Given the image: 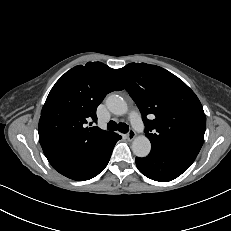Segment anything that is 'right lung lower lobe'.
<instances>
[{"label": "right lung lower lobe", "instance_id": "right-lung-lower-lobe-1", "mask_svg": "<svg viewBox=\"0 0 231 231\" xmlns=\"http://www.w3.org/2000/svg\"><path fill=\"white\" fill-rule=\"evenodd\" d=\"M119 139L121 136L114 133L91 157L58 172L70 179L79 181L95 177L107 166L113 148Z\"/></svg>", "mask_w": 231, "mask_h": 231}]
</instances>
